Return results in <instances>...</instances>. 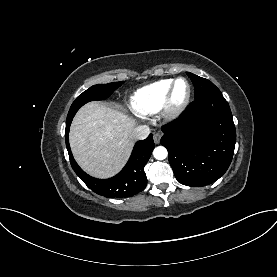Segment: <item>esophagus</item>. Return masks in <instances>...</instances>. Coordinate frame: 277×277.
Wrapping results in <instances>:
<instances>
[{
  "mask_svg": "<svg viewBox=\"0 0 277 277\" xmlns=\"http://www.w3.org/2000/svg\"><path fill=\"white\" fill-rule=\"evenodd\" d=\"M161 136H162V134L159 133V132L154 134L153 138H154L155 144H159L160 143Z\"/></svg>",
  "mask_w": 277,
  "mask_h": 277,
  "instance_id": "1",
  "label": "esophagus"
}]
</instances>
